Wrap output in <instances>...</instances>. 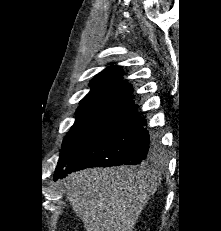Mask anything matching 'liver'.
Here are the masks:
<instances>
[{
  "mask_svg": "<svg viewBox=\"0 0 221 231\" xmlns=\"http://www.w3.org/2000/svg\"><path fill=\"white\" fill-rule=\"evenodd\" d=\"M159 185L147 168H91L64 181L67 199L87 231H133Z\"/></svg>",
  "mask_w": 221,
  "mask_h": 231,
  "instance_id": "6515ba94",
  "label": "liver"
}]
</instances>
